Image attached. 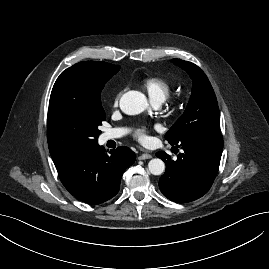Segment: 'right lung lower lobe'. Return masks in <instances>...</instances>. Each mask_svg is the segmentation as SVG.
Masks as SVG:
<instances>
[{
	"mask_svg": "<svg viewBox=\"0 0 269 269\" xmlns=\"http://www.w3.org/2000/svg\"><path fill=\"white\" fill-rule=\"evenodd\" d=\"M135 160V153L126 146L108 155L104 147L97 144L54 164L61 182L74 197L89 204H100L118 193L123 172Z\"/></svg>",
	"mask_w": 269,
	"mask_h": 269,
	"instance_id": "1",
	"label": "right lung lower lobe"
}]
</instances>
